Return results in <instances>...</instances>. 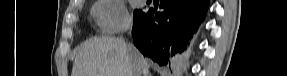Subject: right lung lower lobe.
Returning a JSON list of instances; mask_svg holds the SVG:
<instances>
[{
  "label": "right lung lower lobe",
  "mask_w": 287,
  "mask_h": 76,
  "mask_svg": "<svg viewBox=\"0 0 287 76\" xmlns=\"http://www.w3.org/2000/svg\"><path fill=\"white\" fill-rule=\"evenodd\" d=\"M209 0H161V13L149 10L134 18L135 46L159 65L181 53L205 16Z\"/></svg>",
  "instance_id": "right-lung-lower-lobe-1"
}]
</instances>
